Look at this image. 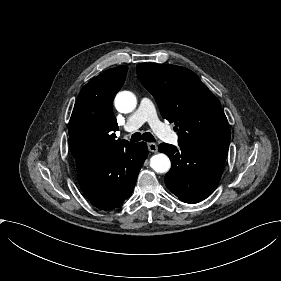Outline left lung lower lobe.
<instances>
[{
  "label": "left lung lower lobe",
  "instance_id": "obj_1",
  "mask_svg": "<svg viewBox=\"0 0 281 281\" xmlns=\"http://www.w3.org/2000/svg\"><path fill=\"white\" fill-rule=\"evenodd\" d=\"M159 151L165 153L172 168L165 176L167 188L186 203H198L217 187L228 151L194 150L162 143Z\"/></svg>",
  "mask_w": 281,
  "mask_h": 281
}]
</instances>
